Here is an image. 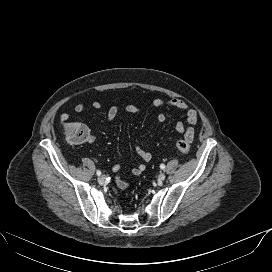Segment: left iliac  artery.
<instances>
[{
    "mask_svg": "<svg viewBox=\"0 0 272 272\" xmlns=\"http://www.w3.org/2000/svg\"><path fill=\"white\" fill-rule=\"evenodd\" d=\"M160 168H161V169H165V165H164V164H161V165H160Z\"/></svg>",
    "mask_w": 272,
    "mask_h": 272,
    "instance_id": "1",
    "label": "left iliac artery"
}]
</instances>
